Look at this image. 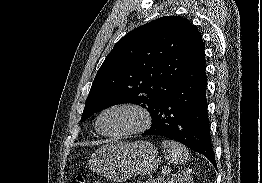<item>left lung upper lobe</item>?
I'll return each instance as SVG.
<instances>
[{
  "instance_id": "5c2ea615",
  "label": "left lung upper lobe",
  "mask_w": 262,
  "mask_h": 183,
  "mask_svg": "<svg viewBox=\"0 0 262 183\" xmlns=\"http://www.w3.org/2000/svg\"><path fill=\"white\" fill-rule=\"evenodd\" d=\"M204 52L201 33L189 20L166 16L118 41L97 72L81 121L113 105L133 103L153 120L161 103Z\"/></svg>"
}]
</instances>
